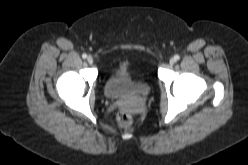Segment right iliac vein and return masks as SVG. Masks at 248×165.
Masks as SVG:
<instances>
[{
    "label": "right iliac vein",
    "instance_id": "1",
    "mask_svg": "<svg viewBox=\"0 0 248 165\" xmlns=\"http://www.w3.org/2000/svg\"><path fill=\"white\" fill-rule=\"evenodd\" d=\"M87 62H88L89 64H92V63H93V57H92V56H88V57H87Z\"/></svg>",
    "mask_w": 248,
    "mask_h": 165
}]
</instances>
